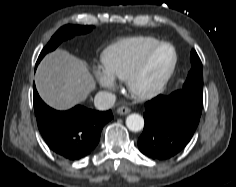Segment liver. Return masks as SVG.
Instances as JSON below:
<instances>
[{
    "instance_id": "obj_1",
    "label": "liver",
    "mask_w": 236,
    "mask_h": 187,
    "mask_svg": "<svg viewBox=\"0 0 236 187\" xmlns=\"http://www.w3.org/2000/svg\"><path fill=\"white\" fill-rule=\"evenodd\" d=\"M40 97L57 110H67L84 101L95 88L87 64L65 50L44 57L35 75Z\"/></svg>"
}]
</instances>
